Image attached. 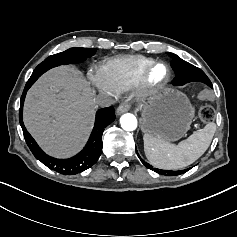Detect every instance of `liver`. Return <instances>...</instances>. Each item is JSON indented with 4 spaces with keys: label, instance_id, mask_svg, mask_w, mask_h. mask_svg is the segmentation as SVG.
I'll list each match as a JSON object with an SVG mask.
<instances>
[{
    "label": "liver",
    "instance_id": "6515ba94",
    "mask_svg": "<svg viewBox=\"0 0 237 237\" xmlns=\"http://www.w3.org/2000/svg\"><path fill=\"white\" fill-rule=\"evenodd\" d=\"M95 109L87 80L73 67H60L44 74L29 90L24 123L48 153L67 157L86 140Z\"/></svg>",
    "mask_w": 237,
    "mask_h": 237
}]
</instances>
